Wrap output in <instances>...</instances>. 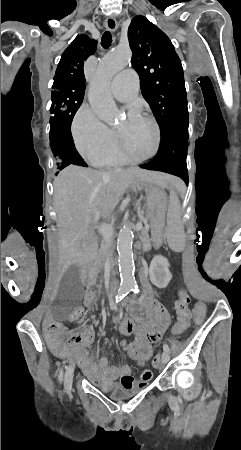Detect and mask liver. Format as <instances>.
<instances>
[{
  "label": "liver",
  "instance_id": "obj_1",
  "mask_svg": "<svg viewBox=\"0 0 241 450\" xmlns=\"http://www.w3.org/2000/svg\"><path fill=\"white\" fill-rule=\"evenodd\" d=\"M178 178L140 168L99 172L92 168L68 166L56 176L54 204L58 220L59 274L70 266H86L96 258L94 224L107 218L127 188L143 190L145 184L167 188Z\"/></svg>",
  "mask_w": 241,
  "mask_h": 450
}]
</instances>
